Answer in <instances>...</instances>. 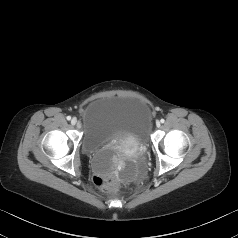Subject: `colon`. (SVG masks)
<instances>
[{"label": "colon", "mask_w": 238, "mask_h": 238, "mask_svg": "<svg viewBox=\"0 0 238 238\" xmlns=\"http://www.w3.org/2000/svg\"><path fill=\"white\" fill-rule=\"evenodd\" d=\"M93 181L98 187L107 192H116L120 188V182L115 177L95 175Z\"/></svg>", "instance_id": "1"}]
</instances>
